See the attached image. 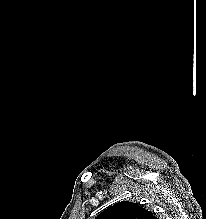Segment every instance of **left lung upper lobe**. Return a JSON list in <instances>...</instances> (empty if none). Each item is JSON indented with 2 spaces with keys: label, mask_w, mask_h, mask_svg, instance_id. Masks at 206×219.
<instances>
[{
  "label": "left lung upper lobe",
  "mask_w": 206,
  "mask_h": 219,
  "mask_svg": "<svg viewBox=\"0 0 206 219\" xmlns=\"http://www.w3.org/2000/svg\"><path fill=\"white\" fill-rule=\"evenodd\" d=\"M150 211L137 203L121 201L101 212L96 219H152Z\"/></svg>",
  "instance_id": "obj_1"
}]
</instances>
